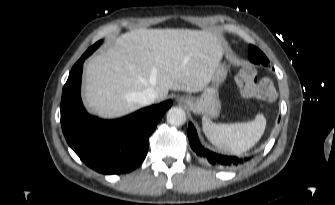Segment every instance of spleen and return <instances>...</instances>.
I'll return each instance as SVG.
<instances>
[{
	"instance_id": "3e777b00",
	"label": "spleen",
	"mask_w": 335,
	"mask_h": 205,
	"mask_svg": "<svg viewBox=\"0 0 335 205\" xmlns=\"http://www.w3.org/2000/svg\"><path fill=\"white\" fill-rule=\"evenodd\" d=\"M202 127L214 146L225 153L238 155L251 149L260 140L266 128V119L258 114L251 122L216 124L204 116Z\"/></svg>"
}]
</instances>
